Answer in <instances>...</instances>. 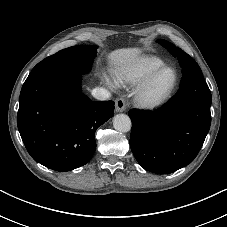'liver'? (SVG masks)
<instances>
[{"instance_id":"6515ba94","label":"liver","mask_w":227,"mask_h":227,"mask_svg":"<svg viewBox=\"0 0 227 227\" xmlns=\"http://www.w3.org/2000/svg\"><path fill=\"white\" fill-rule=\"evenodd\" d=\"M141 52L142 50L140 48H121L109 53L108 57L111 61V64L120 66V69H124L127 66L140 63Z\"/></svg>"}]
</instances>
